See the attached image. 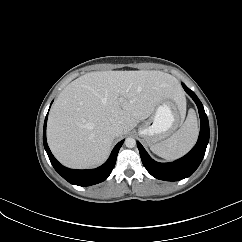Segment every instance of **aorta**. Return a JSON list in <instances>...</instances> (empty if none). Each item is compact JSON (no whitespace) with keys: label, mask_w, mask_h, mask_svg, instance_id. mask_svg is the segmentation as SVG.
<instances>
[{"label":"aorta","mask_w":242,"mask_h":242,"mask_svg":"<svg viewBox=\"0 0 242 242\" xmlns=\"http://www.w3.org/2000/svg\"><path fill=\"white\" fill-rule=\"evenodd\" d=\"M125 145L128 148H133V147L136 146V140L134 138H131V137L130 138H127L125 140Z\"/></svg>","instance_id":"1"}]
</instances>
